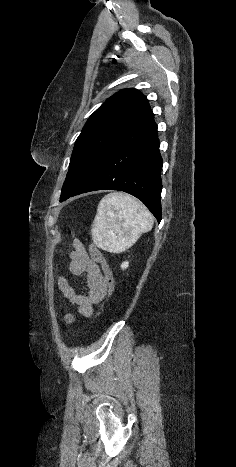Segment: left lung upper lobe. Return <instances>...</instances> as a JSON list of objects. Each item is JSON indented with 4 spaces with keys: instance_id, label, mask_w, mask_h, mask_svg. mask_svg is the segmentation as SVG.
Listing matches in <instances>:
<instances>
[{
    "instance_id": "left-lung-upper-lobe-1",
    "label": "left lung upper lobe",
    "mask_w": 236,
    "mask_h": 467,
    "mask_svg": "<svg viewBox=\"0 0 236 467\" xmlns=\"http://www.w3.org/2000/svg\"><path fill=\"white\" fill-rule=\"evenodd\" d=\"M150 112L148 100L136 89H123L107 99L75 142L60 201L79 190L115 141Z\"/></svg>"
}]
</instances>
